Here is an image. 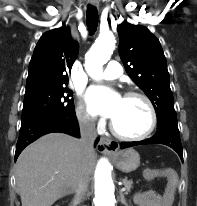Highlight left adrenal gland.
Listing matches in <instances>:
<instances>
[{"label": "left adrenal gland", "mask_w": 197, "mask_h": 206, "mask_svg": "<svg viewBox=\"0 0 197 206\" xmlns=\"http://www.w3.org/2000/svg\"><path fill=\"white\" fill-rule=\"evenodd\" d=\"M119 194H120V202H121L123 205L128 206V204H127V202H126V199H125V197H124L123 192L120 191Z\"/></svg>", "instance_id": "left-adrenal-gland-1"}]
</instances>
